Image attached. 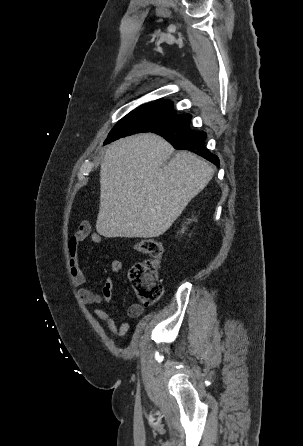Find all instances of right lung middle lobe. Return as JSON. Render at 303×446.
<instances>
[{
	"mask_svg": "<svg viewBox=\"0 0 303 446\" xmlns=\"http://www.w3.org/2000/svg\"><path fill=\"white\" fill-rule=\"evenodd\" d=\"M173 103L169 102L166 107L160 110H149L137 108L122 118L110 131L104 144H108L121 137L142 132L146 127L159 119L175 113Z\"/></svg>",
	"mask_w": 303,
	"mask_h": 446,
	"instance_id": "right-lung-middle-lobe-1",
	"label": "right lung middle lobe"
}]
</instances>
